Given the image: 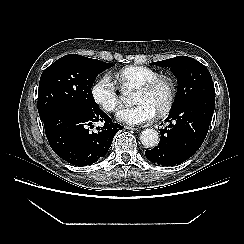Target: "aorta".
Here are the masks:
<instances>
[{"mask_svg":"<svg viewBox=\"0 0 244 244\" xmlns=\"http://www.w3.org/2000/svg\"><path fill=\"white\" fill-rule=\"evenodd\" d=\"M140 140L145 147L152 148L158 144L159 134L154 129H145L141 132Z\"/></svg>","mask_w":244,"mask_h":244,"instance_id":"aorta-1","label":"aorta"}]
</instances>
